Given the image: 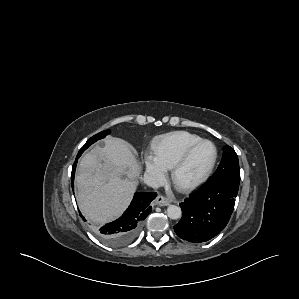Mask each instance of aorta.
Listing matches in <instances>:
<instances>
[{
    "label": "aorta",
    "mask_w": 299,
    "mask_h": 299,
    "mask_svg": "<svg viewBox=\"0 0 299 299\" xmlns=\"http://www.w3.org/2000/svg\"><path fill=\"white\" fill-rule=\"evenodd\" d=\"M167 215L170 219L177 220L181 218L182 210L179 206L169 205L167 208Z\"/></svg>",
    "instance_id": "1"
}]
</instances>
